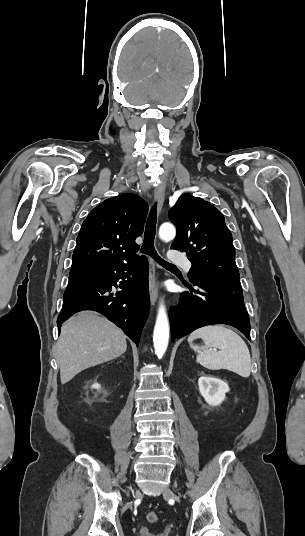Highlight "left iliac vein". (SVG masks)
<instances>
[{"label":"left iliac vein","instance_id":"obj_1","mask_svg":"<svg viewBox=\"0 0 305 536\" xmlns=\"http://www.w3.org/2000/svg\"><path fill=\"white\" fill-rule=\"evenodd\" d=\"M173 489H174V488H173ZM171 491H172V490H171L170 488H167V489L165 490V494H170Z\"/></svg>","mask_w":305,"mask_h":536}]
</instances>
